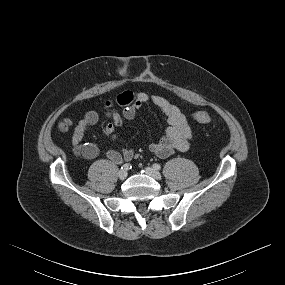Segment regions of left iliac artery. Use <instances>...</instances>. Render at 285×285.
<instances>
[{
    "label": "left iliac artery",
    "instance_id": "44dca946",
    "mask_svg": "<svg viewBox=\"0 0 285 285\" xmlns=\"http://www.w3.org/2000/svg\"><path fill=\"white\" fill-rule=\"evenodd\" d=\"M153 167L156 169V170H160L161 169V166L157 163L153 164Z\"/></svg>",
    "mask_w": 285,
    "mask_h": 285
}]
</instances>
